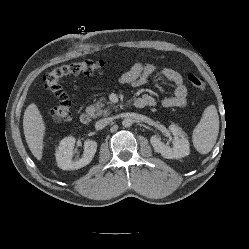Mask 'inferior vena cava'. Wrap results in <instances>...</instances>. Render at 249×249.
<instances>
[{
    "mask_svg": "<svg viewBox=\"0 0 249 249\" xmlns=\"http://www.w3.org/2000/svg\"><path fill=\"white\" fill-rule=\"evenodd\" d=\"M111 121H112V118H110V117L109 118H103V119L96 122L95 128L98 129V130L102 129L105 126H107Z\"/></svg>",
    "mask_w": 249,
    "mask_h": 249,
    "instance_id": "inferior-vena-cava-1",
    "label": "inferior vena cava"
}]
</instances>
